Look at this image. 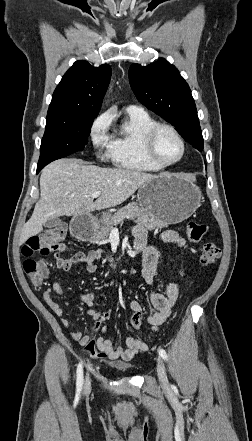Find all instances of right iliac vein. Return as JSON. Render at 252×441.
I'll use <instances>...</instances> for the list:
<instances>
[{"label": "right iliac vein", "instance_id": "right-iliac-vein-1", "mask_svg": "<svg viewBox=\"0 0 252 441\" xmlns=\"http://www.w3.org/2000/svg\"><path fill=\"white\" fill-rule=\"evenodd\" d=\"M90 387H91V380H90L89 375H87L86 379H85V386H84L85 393L89 392Z\"/></svg>", "mask_w": 252, "mask_h": 441}]
</instances>
